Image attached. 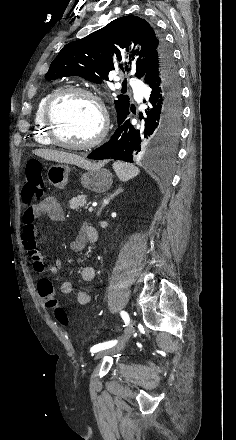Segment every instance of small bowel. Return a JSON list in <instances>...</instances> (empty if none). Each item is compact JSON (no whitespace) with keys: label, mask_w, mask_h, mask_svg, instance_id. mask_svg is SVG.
<instances>
[{"label":"small bowel","mask_w":236,"mask_h":440,"mask_svg":"<svg viewBox=\"0 0 236 440\" xmlns=\"http://www.w3.org/2000/svg\"><path fill=\"white\" fill-rule=\"evenodd\" d=\"M47 216L50 220L61 222L64 220V212L59 201L54 197H46L37 204L30 205L26 208L23 214V228L21 234V241L23 248L27 251L31 258L32 267L36 273H44L48 271L51 274L58 273L62 262L61 260L54 261L51 265L46 267L43 262V257L37 249V228L35 222L38 218ZM98 238L97 231L94 227L84 223L81 225L77 236L70 243V248L75 251H81L87 243H94ZM81 278L84 281H91L94 278V270L90 266H84L80 271ZM61 292L70 295L74 292L73 283L65 281L61 284ZM77 301L81 305H87L91 302V294L88 291H78ZM43 303L48 307L43 299Z\"/></svg>","instance_id":"1"}]
</instances>
